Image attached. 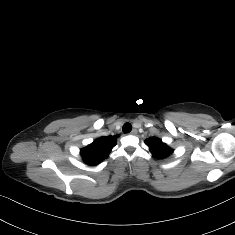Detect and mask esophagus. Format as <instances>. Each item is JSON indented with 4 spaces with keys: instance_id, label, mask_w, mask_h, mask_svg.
<instances>
[{
    "instance_id": "esophagus-1",
    "label": "esophagus",
    "mask_w": 235,
    "mask_h": 235,
    "mask_svg": "<svg viewBox=\"0 0 235 235\" xmlns=\"http://www.w3.org/2000/svg\"><path fill=\"white\" fill-rule=\"evenodd\" d=\"M131 135H136L137 134V129H133L131 132H130Z\"/></svg>"
}]
</instances>
